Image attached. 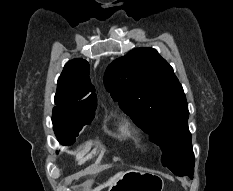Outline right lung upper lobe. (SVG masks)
Segmentation results:
<instances>
[{
  "label": "right lung upper lobe",
  "instance_id": "cb5924a9",
  "mask_svg": "<svg viewBox=\"0 0 233 191\" xmlns=\"http://www.w3.org/2000/svg\"><path fill=\"white\" fill-rule=\"evenodd\" d=\"M54 108L72 114L95 113L97 97L84 59L69 61L58 79Z\"/></svg>",
  "mask_w": 233,
  "mask_h": 191
}]
</instances>
